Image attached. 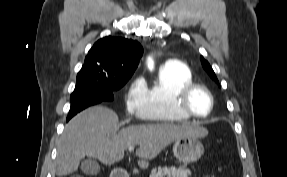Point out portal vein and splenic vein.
I'll return each mask as SVG.
<instances>
[{
	"label": "portal vein and splenic vein",
	"mask_w": 287,
	"mask_h": 177,
	"mask_svg": "<svg viewBox=\"0 0 287 177\" xmlns=\"http://www.w3.org/2000/svg\"><path fill=\"white\" fill-rule=\"evenodd\" d=\"M134 148H135V146H129V147H128L129 151H133Z\"/></svg>",
	"instance_id": "portal-vein-and-splenic-vein-1"
}]
</instances>
